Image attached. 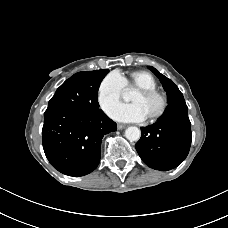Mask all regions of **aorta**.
<instances>
[{"mask_svg": "<svg viewBox=\"0 0 228 228\" xmlns=\"http://www.w3.org/2000/svg\"><path fill=\"white\" fill-rule=\"evenodd\" d=\"M123 98L128 99V93H123ZM125 136L129 141H138L141 136V131L135 126H130L125 130Z\"/></svg>", "mask_w": 228, "mask_h": 228, "instance_id": "762f6f07", "label": "aorta"}]
</instances>
